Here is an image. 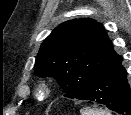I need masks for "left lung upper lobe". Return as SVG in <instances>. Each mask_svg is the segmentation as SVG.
I'll use <instances>...</instances> for the list:
<instances>
[{
    "instance_id": "5c2ea615",
    "label": "left lung upper lobe",
    "mask_w": 131,
    "mask_h": 115,
    "mask_svg": "<svg viewBox=\"0 0 131 115\" xmlns=\"http://www.w3.org/2000/svg\"><path fill=\"white\" fill-rule=\"evenodd\" d=\"M120 62L102 24L81 18L53 30L41 45L34 71L36 76L56 78L66 92L64 96L76 98Z\"/></svg>"
}]
</instances>
